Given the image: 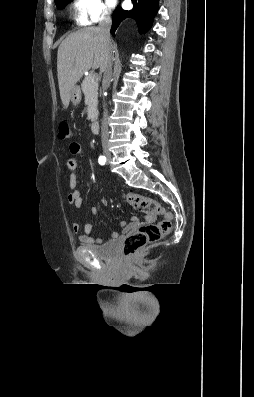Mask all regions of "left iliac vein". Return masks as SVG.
<instances>
[{
  "instance_id": "1",
  "label": "left iliac vein",
  "mask_w": 254,
  "mask_h": 397,
  "mask_svg": "<svg viewBox=\"0 0 254 397\" xmlns=\"http://www.w3.org/2000/svg\"><path fill=\"white\" fill-rule=\"evenodd\" d=\"M107 158H108V161H109L110 160V155L109 154L107 155Z\"/></svg>"
}]
</instances>
